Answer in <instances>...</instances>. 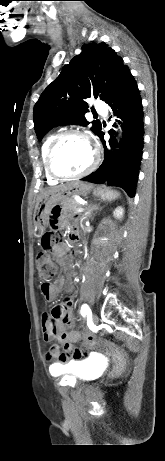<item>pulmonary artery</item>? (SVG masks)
Listing matches in <instances>:
<instances>
[{"label":"pulmonary artery","instance_id":"pulmonary-artery-1","mask_svg":"<svg viewBox=\"0 0 165 461\" xmlns=\"http://www.w3.org/2000/svg\"><path fill=\"white\" fill-rule=\"evenodd\" d=\"M95 110L98 113L105 115L107 112V107L102 102H97L95 104Z\"/></svg>","mask_w":165,"mask_h":461}]
</instances>
